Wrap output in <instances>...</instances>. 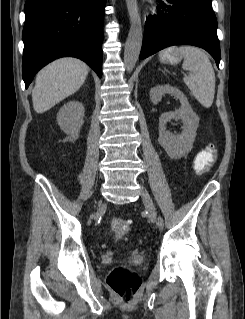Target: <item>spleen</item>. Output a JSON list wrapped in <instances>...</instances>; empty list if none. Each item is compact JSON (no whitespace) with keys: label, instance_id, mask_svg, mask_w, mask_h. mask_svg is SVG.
<instances>
[{"label":"spleen","instance_id":"obj_1","mask_svg":"<svg viewBox=\"0 0 245 319\" xmlns=\"http://www.w3.org/2000/svg\"><path fill=\"white\" fill-rule=\"evenodd\" d=\"M184 57L182 68L191 72L183 78L192 95L206 108L211 107L215 94V73L206 53L194 46L176 49Z\"/></svg>","mask_w":245,"mask_h":319}]
</instances>
